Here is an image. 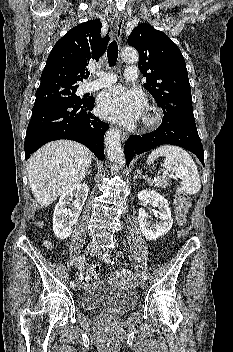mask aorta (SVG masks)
<instances>
[{
    "label": "aorta",
    "instance_id": "obj_1",
    "mask_svg": "<svg viewBox=\"0 0 233 352\" xmlns=\"http://www.w3.org/2000/svg\"><path fill=\"white\" fill-rule=\"evenodd\" d=\"M121 57L124 61L135 62L138 60V53L133 48H125L121 52ZM104 144L109 160L116 166H123L125 159L119 130L109 129L105 135Z\"/></svg>",
    "mask_w": 233,
    "mask_h": 352
}]
</instances>
